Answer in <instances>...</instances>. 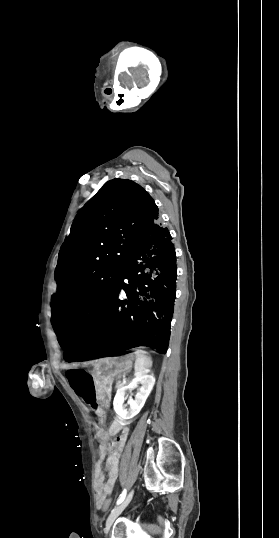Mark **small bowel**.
<instances>
[{
	"mask_svg": "<svg viewBox=\"0 0 279 538\" xmlns=\"http://www.w3.org/2000/svg\"><path fill=\"white\" fill-rule=\"evenodd\" d=\"M68 383L75 395L87 405L96 416L94 423L95 437L100 441L98 447L99 464L97 468V495L102 505L106 496L111 495L118 478V463L121 451L128 438L129 429L120 422H113L108 429L103 428L105 409L99 404L96 397L95 383L92 375L84 370H72L67 374ZM116 436L114 442L109 443L110 437ZM106 459L107 478L101 469L102 461Z\"/></svg>",
	"mask_w": 279,
	"mask_h": 538,
	"instance_id": "1",
	"label": "small bowel"
}]
</instances>
